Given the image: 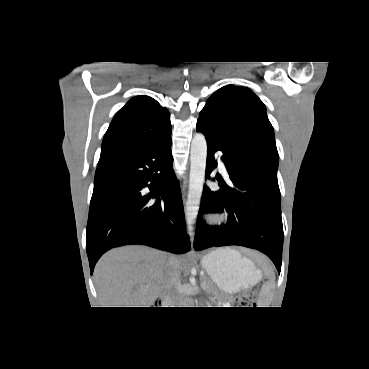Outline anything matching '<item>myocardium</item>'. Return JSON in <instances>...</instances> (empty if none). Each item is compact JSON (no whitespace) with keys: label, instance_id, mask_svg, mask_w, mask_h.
<instances>
[{"label":"myocardium","instance_id":"1","mask_svg":"<svg viewBox=\"0 0 369 369\" xmlns=\"http://www.w3.org/2000/svg\"><path fill=\"white\" fill-rule=\"evenodd\" d=\"M214 220L215 221H223L224 220V216H222V215H216V216H214Z\"/></svg>","mask_w":369,"mask_h":369}]
</instances>
